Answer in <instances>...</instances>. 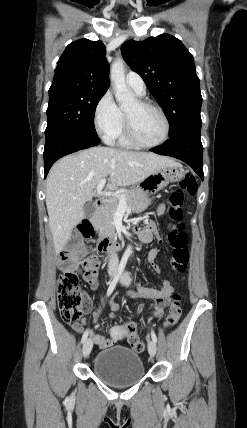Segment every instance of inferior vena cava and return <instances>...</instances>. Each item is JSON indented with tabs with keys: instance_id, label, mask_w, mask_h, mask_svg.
<instances>
[{
	"instance_id": "inferior-vena-cava-1",
	"label": "inferior vena cava",
	"mask_w": 247,
	"mask_h": 428,
	"mask_svg": "<svg viewBox=\"0 0 247 428\" xmlns=\"http://www.w3.org/2000/svg\"><path fill=\"white\" fill-rule=\"evenodd\" d=\"M109 268L115 269L118 266V256L115 252H110Z\"/></svg>"
}]
</instances>
